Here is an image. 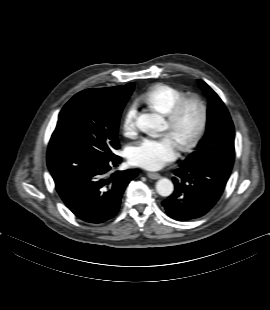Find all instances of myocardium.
Wrapping results in <instances>:
<instances>
[{
    "label": "myocardium",
    "instance_id": "f54148a6",
    "mask_svg": "<svg viewBox=\"0 0 270 310\" xmlns=\"http://www.w3.org/2000/svg\"><path fill=\"white\" fill-rule=\"evenodd\" d=\"M189 108L196 109L198 113V122L195 130L190 135L180 140L179 143L183 150L191 149L203 136L208 120L207 107L203 100L198 96H184L174 105V107L166 115L169 128L171 130H176L184 113Z\"/></svg>",
    "mask_w": 270,
    "mask_h": 310
}]
</instances>
